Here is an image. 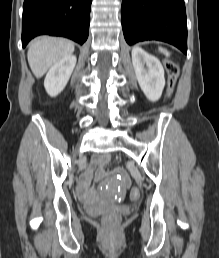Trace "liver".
Segmentation results:
<instances>
[{
  "label": "liver",
  "instance_id": "liver-1",
  "mask_svg": "<svg viewBox=\"0 0 219 258\" xmlns=\"http://www.w3.org/2000/svg\"><path fill=\"white\" fill-rule=\"evenodd\" d=\"M74 44L66 39L38 37L28 50L29 66L36 78H41L50 67L66 56L72 55Z\"/></svg>",
  "mask_w": 219,
  "mask_h": 258
}]
</instances>
